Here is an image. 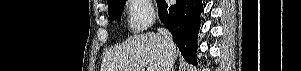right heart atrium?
I'll return each instance as SVG.
<instances>
[{"label": "right heart atrium", "instance_id": "right-heart-atrium-1", "mask_svg": "<svg viewBox=\"0 0 301 71\" xmlns=\"http://www.w3.org/2000/svg\"><path fill=\"white\" fill-rule=\"evenodd\" d=\"M128 25L134 32L146 30L154 20V10L149 0H129L126 5Z\"/></svg>", "mask_w": 301, "mask_h": 71}]
</instances>
